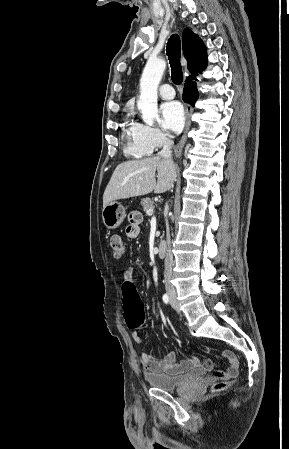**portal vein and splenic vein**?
<instances>
[{"instance_id":"18ae733b","label":"portal vein and splenic vein","mask_w":289,"mask_h":449,"mask_svg":"<svg viewBox=\"0 0 289 449\" xmlns=\"http://www.w3.org/2000/svg\"><path fill=\"white\" fill-rule=\"evenodd\" d=\"M153 212H154V211H153V209H149V210H147V214H148V215H152V214H153Z\"/></svg>"}]
</instances>
